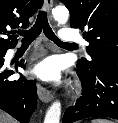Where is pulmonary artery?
Wrapping results in <instances>:
<instances>
[{
	"mask_svg": "<svg viewBox=\"0 0 118 123\" xmlns=\"http://www.w3.org/2000/svg\"><path fill=\"white\" fill-rule=\"evenodd\" d=\"M59 36L63 41H80L83 45H86V42L80 38L75 30L71 28L61 29Z\"/></svg>",
	"mask_w": 118,
	"mask_h": 123,
	"instance_id": "pulmonary-artery-1",
	"label": "pulmonary artery"
}]
</instances>
